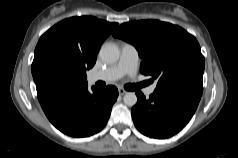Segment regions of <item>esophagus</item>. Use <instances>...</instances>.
I'll list each match as a JSON object with an SVG mask.
<instances>
[{
    "label": "esophagus",
    "instance_id": "obj_1",
    "mask_svg": "<svg viewBox=\"0 0 238 158\" xmlns=\"http://www.w3.org/2000/svg\"><path fill=\"white\" fill-rule=\"evenodd\" d=\"M118 92H119V95H121V96L127 93V91L122 88H119Z\"/></svg>",
    "mask_w": 238,
    "mask_h": 158
}]
</instances>
